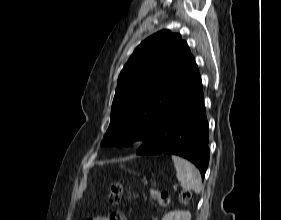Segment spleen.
Segmentation results:
<instances>
[{
  "instance_id": "spleen-1",
  "label": "spleen",
  "mask_w": 281,
  "mask_h": 220,
  "mask_svg": "<svg viewBox=\"0 0 281 220\" xmlns=\"http://www.w3.org/2000/svg\"><path fill=\"white\" fill-rule=\"evenodd\" d=\"M172 160L176 169V176L184 190H194L200 193L202 190V181L199 170L189 161L172 155Z\"/></svg>"
}]
</instances>
